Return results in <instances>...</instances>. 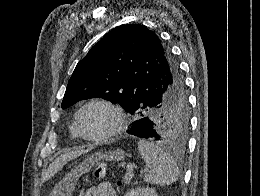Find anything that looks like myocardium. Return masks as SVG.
<instances>
[{"instance_id":"myocardium-1","label":"myocardium","mask_w":260,"mask_h":196,"mask_svg":"<svg viewBox=\"0 0 260 196\" xmlns=\"http://www.w3.org/2000/svg\"><path fill=\"white\" fill-rule=\"evenodd\" d=\"M93 104H103V105L109 107L115 113L116 118H117L116 125L111 130H109L108 132H106L102 135H98V136H89V135L84 134L79 126V119H80L82 112L87 107H89ZM126 125H127L126 114H125L124 110L122 109V107L118 103H116L106 97H94V98L90 99L89 101L85 102L76 111V113L74 115V120H73V127H74L75 131L77 132L79 138L83 139L85 141H88V142H92V143L106 142L107 140L120 134L126 128Z\"/></svg>"}]
</instances>
